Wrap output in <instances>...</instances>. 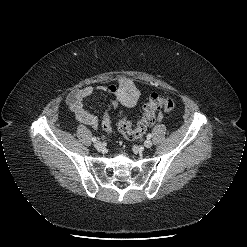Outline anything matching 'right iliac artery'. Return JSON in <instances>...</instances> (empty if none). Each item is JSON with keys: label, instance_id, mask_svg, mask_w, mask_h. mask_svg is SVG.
Masks as SVG:
<instances>
[{"label": "right iliac artery", "instance_id": "82829eb1", "mask_svg": "<svg viewBox=\"0 0 247 247\" xmlns=\"http://www.w3.org/2000/svg\"><path fill=\"white\" fill-rule=\"evenodd\" d=\"M92 141L93 142H96L97 141V138L96 137H92Z\"/></svg>", "mask_w": 247, "mask_h": 247}]
</instances>
